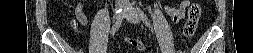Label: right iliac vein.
<instances>
[{"label":"right iliac vein","mask_w":253,"mask_h":53,"mask_svg":"<svg viewBox=\"0 0 253 53\" xmlns=\"http://www.w3.org/2000/svg\"><path fill=\"white\" fill-rule=\"evenodd\" d=\"M121 19V16L119 15L116 19V22L119 21Z\"/></svg>","instance_id":"obj_1"}]
</instances>
